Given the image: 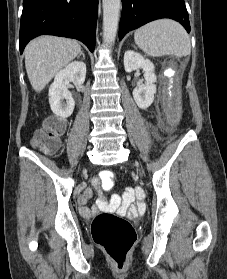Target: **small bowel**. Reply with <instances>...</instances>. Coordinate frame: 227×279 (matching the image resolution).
<instances>
[{
	"mask_svg": "<svg viewBox=\"0 0 227 279\" xmlns=\"http://www.w3.org/2000/svg\"><path fill=\"white\" fill-rule=\"evenodd\" d=\"M93 190L98 192L96 204L91 207L81 205L79 207V212L83 216H89L99 210H109L118 211L121 214H127L128 216L134 217L145 208V203L143 201H133V195L129 196L125 194L123 200H121L120 196L117 194L107 198L103 189L98 185L97 180H93L92 188L87 189L85 193L79 197V202L82 204L86 203L92 196ZM133 191L139 192V189L134 188Z\"/></svg>",
	"mask_w": 227,
	"mask_h": 279,
	"instance_id": "obj_1",
	"label": "small bowel"
}]
</instances>
